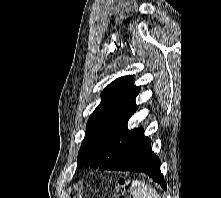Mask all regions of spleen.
I'll use <instances>...</instances> for the list:
<instances>
[{"instance_id":"1","label":"spleen","mask_w":221,"mask_h":198,"mask_svg":"<svg viewBox=\"0 0 221 198\" xmlns=\"http://www.w3.org/2000/svg\"><path fill=\"white\" fill-rule=\"evenodd\" d=\"M131 193L134 198H161L151 186L141 180L132 182Z\"/></svg>"}]
</instances>
